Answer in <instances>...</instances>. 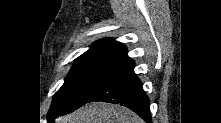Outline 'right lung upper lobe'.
Listing matches in <instances>:
<instances>
[{
  "label": "right lung upper lobe",
  "mask_w": 221,
  "mask_h": 123,
  "mask_svg": "<svg viewBox=\"0 0 221 123\" xmlns=\"http://www.w3.org/2000/svg\"><path fill=\"white\" fill-rule=\"evenodd\" d=\"M88 51H105L127 56L125 46L111 38H105L95 42Z\"/></svg>",
  "instance_id": "cb5924a9"
}]
</instances>
